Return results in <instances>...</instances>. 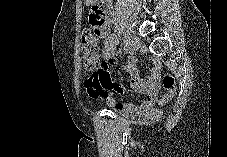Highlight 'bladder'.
Masks as SVG:
<instances>
[{
  "instance_id": "obj_1",
  "label": "bladder",
  "mask_w": 227,
  "mask_h": 157,
  "mask_svg": "<svg viewBox=\"0 0 227 157\" xmlns=\"http://www.w3.org/2000/svg\"><path fill=\"white\" fill-rule=\"evenodd\" d=\"M116 112L119 113V114H121V115H123V116H129L130 115L129 113H126V112L121 111V110H118Z\"/></svg>"
}]
</instances>
